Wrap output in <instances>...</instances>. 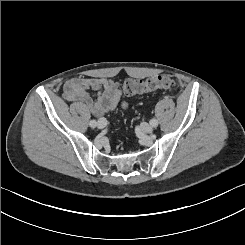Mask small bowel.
<instances>
[{
	"label": "small bowel",
	"mask_w": 245,
	"mask_h": 245,
	"mask_svg": "<svg viewBox=\"0 0 245 245\" xmlns=\"http://www.w3.org/2000/svg\"><path fill=\"white\" fill-rule=\"evenodd\" d=\"M63 94L66 100L76 103L74 111L82 123L91 115L101 117L115 108L128 106L119 83L107 78H72L65 83Z\"/></svg>",
	"instance_id": "c3829d8e"
}]
</instances>
